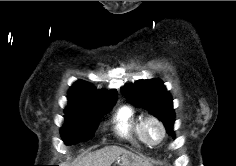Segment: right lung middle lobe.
Instances as JSON below:
<instances>
[{
	"mask_svg": "<svg viewBox=\"0 0 236 166\" xmlns=\"http://www.w3.org/2000/svg\"><path fill=\"white\" fill-rule=\"evenodd\" d=\"M113 106L92 109L79 106H68L65 110L66 123L61 129L66 144L85 141L93 137L101 117Z\"/></svg>",
	"mask_w": 236,
	"mask_h": 166,
	"instance_id": "1",
	"label": "right lung middle lobe"
}]
</instances>
